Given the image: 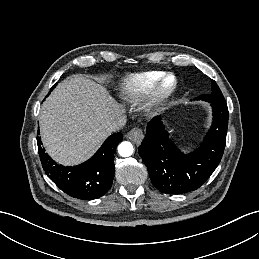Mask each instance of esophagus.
<instances>
[{"label": "esophagus", "instance_id": "1", "mask_svg": "<svg viewBox=\"0 0 259 259\" xmlns=\"http://www.w3.org/2000/svg\"><path fill=\"white\" fill-rule=\"evenodd\" d=\"M127 137L136 144H140L144 138V132L141 128L135 127L127 133Z\"/></svg>", "mask_w": 259, "mask_h": 259}]
</instances>
